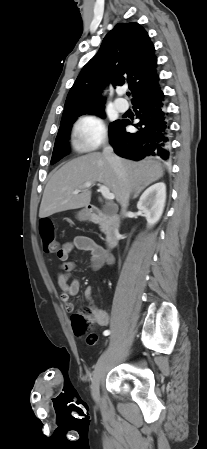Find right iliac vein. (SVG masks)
<instances>
[{
  "mask_svg": "<svg viewBox=\"0 0 207 449\" xmlns=\"http://www.w3.org/2000/svg\"><path fill=\"white\" fill-rule=\"evenodd\" d=\"M108 355L109 349H107L98 359L91 379V394L96 402H98L100 398L99 386Z\"/></svg>",
  "mask_w": 207,
  "mask_h": 449,
  "instance_id": "obj_1",
  "label": "right iliac vein"
}]
</instances>
